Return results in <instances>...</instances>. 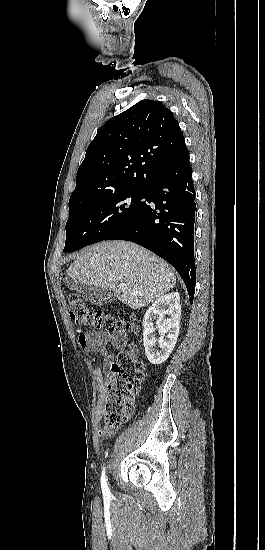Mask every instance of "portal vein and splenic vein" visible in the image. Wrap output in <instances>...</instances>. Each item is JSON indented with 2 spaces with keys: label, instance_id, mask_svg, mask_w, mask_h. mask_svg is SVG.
Masks as SVG:
<instances>
[{
  "label": "portal vein and splenic vein",
  "instance_id": "portal-vein-and-splenic-vein-1",
  "mask_svg": "<svg viewBox=\"0 0 265 550\" xmlns=\"http://www.w3.org/2000/svg\"><path fill=\"white\" fill-rule=\"evenodd\" d=\"M118 287H119V289H121V290H125V289H126V285H125V284H119Z\"/></svg>",
  "mask_w": 265,
  "mask_h": 550
}]
</instances>
